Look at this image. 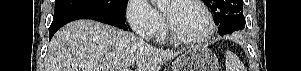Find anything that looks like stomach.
<instances>
[{
	"label": "stomach",
	"instance_id": "obj_1",
	"mask_svg": "<svg viewBox=\"0 0 301 71\" xmlns=\"http://www.w3.org/2000/svg\"><path fill=\"white\" fill-rule=\"evenodd\" d=\"M216 55L206 47H197L181 54L172 62V71H219Z\"/></svg>",
	"mask_w": 301,
	"mask_h": 71
}]
</instances>
